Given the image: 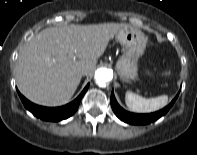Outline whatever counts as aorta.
<instances>
[{"mask_svg":"<svg viewBox=\"0 0 197 155\" xmlns=\"http://www.w3.org/2000/svg\"><path fill=\"white\" fill-rule=\"evenodd\" d=\"M113 74L107 68H100L95 72V82L97 85L104 87L112 80Z\"/></svg>","mask_w":197,"mask_h":155,"instance_id":"obj_1","label":"aorta"}]
</instances>
